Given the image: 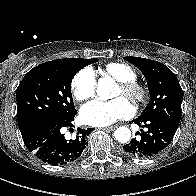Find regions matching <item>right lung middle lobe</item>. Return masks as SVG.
Returning <instances> with one entry per match:
<instances>
[{
  "label": "right lung middle lobe",
  "instance_id": "right-lung-middle-lobe-1",
  "mask_svg": "<svg viewBox=\"0 0 196 196\" xmlns=\"http://www.w3.org/2000/svg\"><path fill=\"white\" fill-rule=\"evenodd\" d=\"M83 67L69 59H57L31 69L16 90L19 128L38 119H63L75 114L71 82Z\"/></svg>",
  "mask_w": 196,
  "mask_h": 196
}]
</instances>
